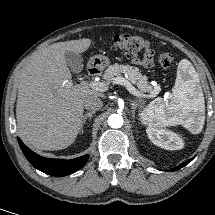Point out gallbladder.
Segmentation results:
<instances>
[{"label": "gallbladder", "instance_id": "obj_1", "mask_svg": "<svg viewBox=\"0 0 215 215\" xmlns=\"http://www.w3.org/2000/svg\"><path fill=\"white\" fill-rule=\"evenodd\" d=\"M65 60L69 68L74 73H80L83 68V58L81 54L74 52H66Z\"/></svg>", "mask_w": 215, "mask_h": 215}]
</instances>
